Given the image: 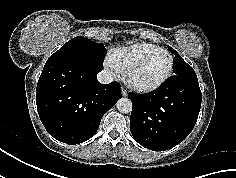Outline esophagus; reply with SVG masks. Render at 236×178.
I'll use <instances>...</instances> for the list:
<instances>
[{"label": "esophagus", "mask_w": 236, "mask_h": 178, "mask_svg": "<svg viewBox=\"0 0 236 178\" xmlns=\"http://www.w3.org/2000/svg\"><path fill=\"white\" fill-rule=\"evenodd\" d=\"M121 93H122V96H127V91L124 87H121Z\"/></svg>", "instance_id": "34e87169"}]
</instances>
